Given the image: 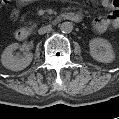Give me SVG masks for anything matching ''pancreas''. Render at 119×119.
Instances as JSON below:
<instances>
[{
  "instance_id": "pancreas-1",
  "label": "pancreas",
  "mask_w": 119,
  "mask_h": 119,
  "mask_svg": "<svg viewBox=\"0 0 119 119\" xmlns=\"http://www.w3.org/2000/svg\"><path fill=\"white\" fill-rule=\"evenodd\" d=\"M35 27H36V25L34 24V25H32L31 29H34Z\"/></svg>"
}]
</instances>
